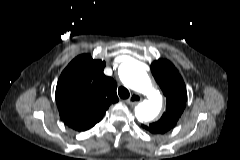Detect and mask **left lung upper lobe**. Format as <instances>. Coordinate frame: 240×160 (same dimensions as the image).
<instances>
[{
  "mask_svg": "<svg viewBox=\"0 0 240 160\" xmlns=\"http://www.w3.org/2000/svg\"><path fill=\"white\" fill-rule=\"evenodd\" d=\"M151 71L166 97V111L158 121L148 126L143 125V128L151 133L163 134L172 129L182 115L186 106L187 91L181 75L170 61H154Z\"/></svg>",
  "mask_w": 240,
  "mask_h": 160,
  "instance_id": "obj_1",
  "label": "left lung upper lobe"
}]
</instances>
